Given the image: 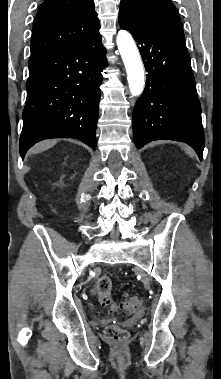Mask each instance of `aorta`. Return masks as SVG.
<instances>
[{
  "mask_svg": "<svg viewBox=\"0 0 221 379\" xmlns=\"http://www.w3.org/2000/svg\"><path fill=\"white\" fill-rule=\"evenodd\" d=\"M116 42L127 71L130 92L133 96H139L143 92L145 83L139 51L131 34L126 30L118 32Z\"/></svg>",
  "mask_w": 221,
  "mask_h": 379,
  "instance_id": "762f6f07",
  "label": "aorta"
}]
</instances>
